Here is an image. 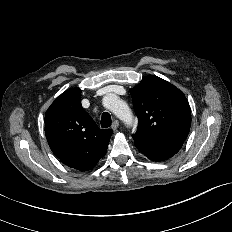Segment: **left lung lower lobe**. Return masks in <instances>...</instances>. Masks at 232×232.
Masks as SVG:
<instances>
[{"mask_svg": "<svg viewBox=\"0 0 232 232\" xmlns=\"http://www.w3.org/2000/svg\"><path fill=\"white\" fill-rule=\"evenodd\" d=\"M183 143H164L157 145H147L135 143L140 152L146 155L150 160L159 162L166 160L176 154L182 147Z\"/></svg>", "mask_w": 232, "mask_h": 232, "instance_id": "left-lung-lower-lobe-1", "label": "left lung lower lobe"}]
</instances>
